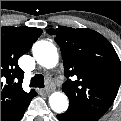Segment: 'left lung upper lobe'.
Instances as JSON below:
<instances>
[{
    "instance_id": "5c2ea615",
    "label": "left lung upper lobe",
    "mask_w": 121,
    "mask_h": 121,
    "mask_svg": "<svg viewBox=\"0 0 121 121\" xmlns=\"http://www.w3.org/2000/svg\"><path fill=\"white\" fill-rule=\"evenodd\" d=\"M47 32L56 36L62 51L68 78L62 90L69 98L68 110L101 118L112 105L121 81V63L113 46L90 29L61 27Z\"/></svg>"
}]
</instances>
